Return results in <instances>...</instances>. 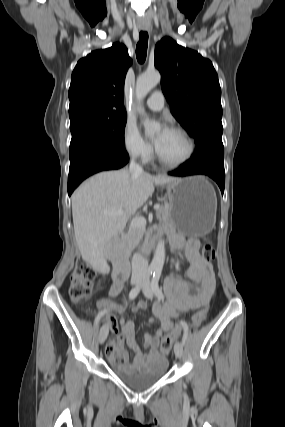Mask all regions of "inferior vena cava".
I'll list each match as a JSON object with an SVG mask.
<instances>
[{"mask_svg":"<svg viewBox=\"0 0 285 427\" xmlns=\"http://www.w3.org/2000/svg\"><path fill=\"white\" fill-rule=\"evenodd\" d=\"M129 172L134 175L141 174L143 172L142 167L135 162L132 158L129 165ZM148 269V261L141 254L135 253L132 258V274L133 275H145Z\"/></svg>","mask_w":285,"mask_h":427,"instance_id":"inferior-vena-cava-1","label":"inferior vena cava"}]
</instances>
